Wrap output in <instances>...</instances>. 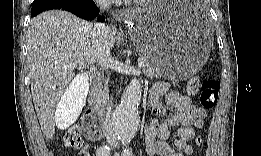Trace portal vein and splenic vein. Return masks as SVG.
<instances>
[{"label": "portal vein and splenic vein", "mask_w": 261, "mask_h": 156, "mask_svg": "<svg viewBox=\"0 0 261 156\" xmlns=\"http://www.w3.org/2000/svg\"><path fill=\"white\" fill-rule=\"evenodd\" d=\"M144 65H145L144 61H139V62H138V67H139V68L144 67ZM68 67H69V68H76V67H77V63H70V64L68 65ZM78 84H79V83H78Z\"/></svg>", "instance_id": "1"}]
</instances>
